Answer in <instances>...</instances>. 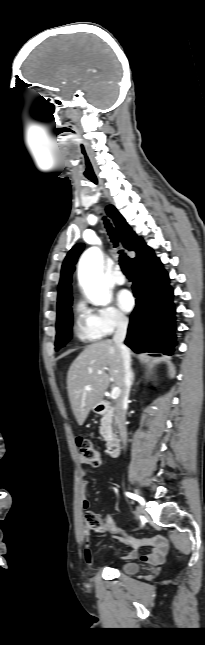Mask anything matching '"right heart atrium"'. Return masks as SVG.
<instances>
[{"mask_svg":"<svg viewBox=\"0 0 205 645\" xmlns=\"http://www.w3.org/2000/svg\"><path fill=\"white\" fill-rule=\"evenodd\" d=\"M93 328L101 335L108 336L117 330L125 329L129 319L125 313L112 305H105L90 313Z\"/></svg>","mask_w":205,"mask_h":645,"instance_id":"d8ad5b80","label":"right heart atrium"}]
</instances>
